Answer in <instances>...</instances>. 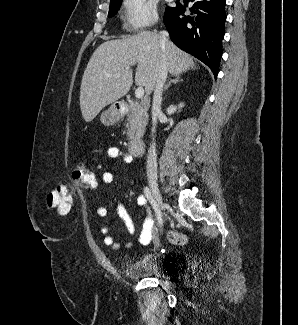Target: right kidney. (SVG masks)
<instances>
[{
	"instance_id": "ca27d5eb",
	"label": "right kidney",
	"mask_w": 298,
	"mask_h": 325,
	"mask_svg": "<svg viewBox=\"0 0 298 325\" xmlns=\"http://www.w3.org/2000/svg\"><path fill=\"white\" fill-rule=\"evenodd\" d=\"M181 106H184L183 102H180V104H178V106H175V104H170V106H168L166 112H167V114H173V112H176L177 108H181Z\"/></svg>"
}]
</instances>
